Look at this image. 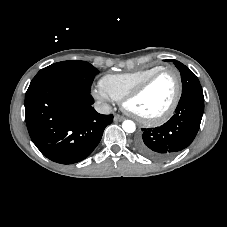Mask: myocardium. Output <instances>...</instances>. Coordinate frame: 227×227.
<instances>
[{
  "mask_svg": "<svg viewBox=\"0 0 227 227\" xmlns=\"http://www.w3.org/2000/svg\"><path fill=\"white\" fill-rule=\"evenodd\" d=\"M166 72H172L176 78L175 96H174L172 102L170 103V105L167 107V109L165 111H163L161 114L153 116V117H143V116L135 113L134 111H132L128 106L129 102L132 99H134L135 97H137L138 95H140L158 76H160ZM182 90H183L182 78H181L179 71L176 70L175 68L163 67V68L155 71L154 73H152L151 75L146 77L143 81H141L139 84H137L135 87H133L122 98V106L128 114H130L135 119H137L138 121H140L144 124H149V125L159 124V123L167 120L174 113V111L176 110V108L180 102V99L182 96Z\"/></svg>",
  "mask_w": 227,
  "mask_h": 227,
  "instance_id": "1",
  "label": "myocardium"
}]
</instances>
